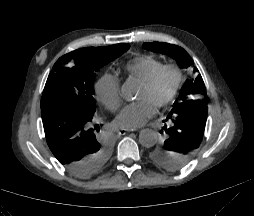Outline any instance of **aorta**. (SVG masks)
<instances>
[{"mask_svg": "<svg viewBox=\"0 0 254 216\" xmlns=\"http://www.w3.org/2000/svg\"><path fill=\"white\" fill-rule=\"evenodd\" d=\"M158 140L157 133L152 129H143L139 134V142L142 146L149 148L156 144Z\"/></svg>", "mask_w": 254, "mask_h": 216, "instance_id": "1", "label": "aorta"}]
</instances>
